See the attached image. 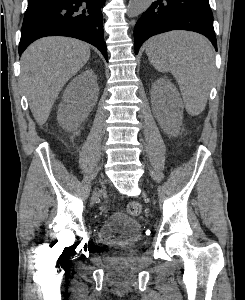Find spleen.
Wrapping results in <instances>:
<instances>
[{"label":"spleen","instance_id":"spleen-1","mask_svg":"<svg viewBox=\"0 0 245 300\" xmlns=\"http://www.w3.org/2000/svg\"><path fill=\"white\" fill-rule=\"evenodd\" d=\"M145 50L157 71L173 74L187 112L193 116L200 114L207 103L214 68L213 52L205 38L172 31L149 39Z\"/></svg>","mask_w":245,"mask_h":300}]
</instances>
